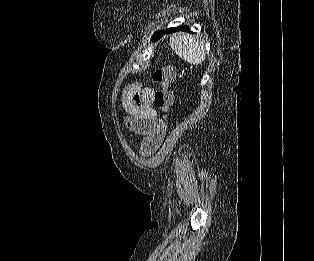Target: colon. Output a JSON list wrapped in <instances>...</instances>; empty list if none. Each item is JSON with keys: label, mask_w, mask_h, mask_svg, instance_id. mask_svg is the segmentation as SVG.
I'll list each match as a JSON object with an SVG mask.
<instances>
[{"label": "colon", "mask_w": 314, "mask_h": 261, "mask_svg": "<svg viewBox=\"0 0 314 261\" xmlns=\"http://www.w3.org/2000/svg\"><path fill=\"white\" fill-rule=\"evenodd\" d=\"M175 77L174 67L166 64L153 72L152 79L158 85V89L154 93L153 102L163 113H167L173 103V94L170 86L175 81Z\"/></svg>", "instance_id": "5ec220e1"}]
</instances>
